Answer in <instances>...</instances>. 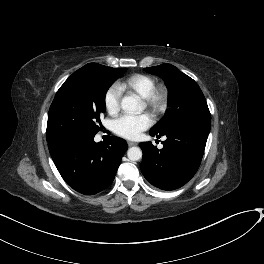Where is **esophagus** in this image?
<instances>
[{"mask_svg": "<svg viewBox=\"0 0 264 264\" xmlns=\"http://www.w3.org/2000/svg\"><path fill=\"white\" fill-rule=\"evenodd\" d=\"M127 144H128L129 147H131V146H135V145H136L135 142H131V141H128Z\"/></svg>", "mask_w": 264, "mask_h": 264, "instance_id": "1", "label": "esophagus"}]
</instances>
